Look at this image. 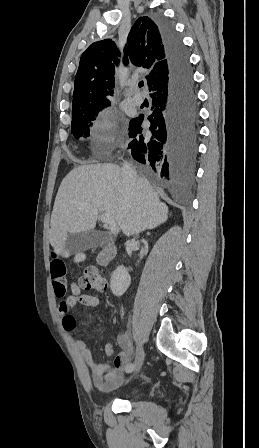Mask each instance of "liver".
I'll list each match as a JSON object with an SVG mask.
<instances>
[{
    "instance_id": "6515ba94",
    "label": "liver",
    "mask_w": 259,
    "mask_h": 448,
    "mask_svg": "<svg viewBox=\"0 0 259 448\" xmlns=\"http://www.w3.org/2000/svg\"><path fill=\"white\" fill-rule=\"evenodd\" d=\"M99 212L110 214L125 236L157 228L168 218V206L146 178H136L132 188H126L117 164L78 166L62 180L55 198L49 230L55 254L69 258L68 234L92 232ZM84 260L85 254L74 258Z\"/></svg>"
}]
</instances>
